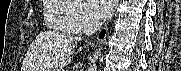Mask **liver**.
Returning <instances> with one entry per match:
<instances>
[{
  "label": "liver",
  "instance_id": "liver-1",
  "mask_svg": "<svg viewBox=\"0 0 181 71\" xmlns=\"http://www.w3.org/2000/svg\"><path fill=\"white\" fill-rule=\"evenodd\" d=\"M77 38L59 32H43L31 44L23 71H59L70 63Z\"/></svg>",
  "mask_w": 181,
  "mask_h": 71
}]
</instances>
